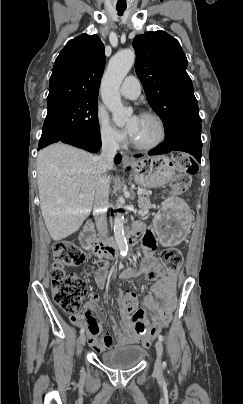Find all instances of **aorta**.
Here are the masks:
<instances>
[{
  "mask_svg": "<svg viewBox=\"0 0 243 404\" xmlns=\"http://www.w3.org/2000/svg\"><path fill=\"white\" fill-rule=\"evenodd\" d=\"M135 62V52L133 48L117 52L110 58L106 72L101 82V98L107 110L111 112L113 122L116 126H125L128 118L133 114L132 108H124L119 94V88L128 72H130ZM119 204L115 206L113 232L115 242L120 250L121 256H126L128 244L124 232V202L119 198Z\"/></svg>",
  "mask_w": 243,
  "mask_h": 404,
  "instance_id": "762f6f07",
  "label": "aorta"
}]
</instances>
